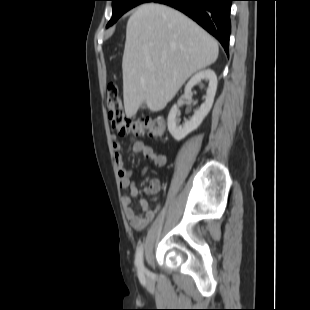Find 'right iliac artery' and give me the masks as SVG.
<instances>
[{
    "label": "right iliac artery",
    "mask_w": 310,
    "mask_h": 310,
    "mask_svg": "<svg viewBox=\"0 0 310 310\" xmlns=\"http://www.w3.org/2000/svg\"><path fill=\"white\" fill-rule=\"evenodd\" d=\"M135 264L138 270L139 275L142 277L144 272V264H143V247L142 244L139 245L135 255Z\"/></svg>",
    "instance_id": "82829eb1"
}]
</instances>
